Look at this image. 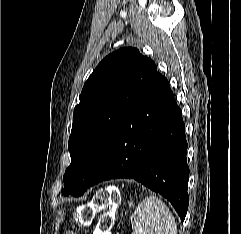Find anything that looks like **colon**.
<instances>
[{
  "mask_svg": "<svg viewBox=\"0 0 241 234\" xmlns=\"http://www.w3.org/2000/svg\"><path fill=\"white\" fill-rule=\"evenodd\" d=\"M118 201L119 194L116 190L103 188L95 194L90 203L84 204L78 209L77 219L86 226L91 224L96 214L101 212L94 234H112L114 213Z\"/></svg>",
  "mask_w": 241,
  "mask_h": 234,
  "instance_id": "1",
  "label": "colon"
}]
</instances>
